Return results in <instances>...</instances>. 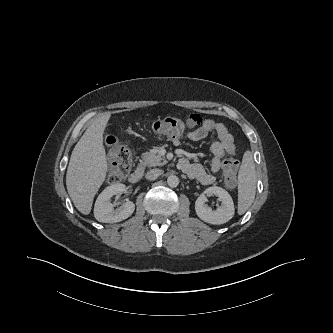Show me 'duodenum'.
Wrapping results in <instances>:
<instances>
[{
  "mask_svg": "<svg viewBox=\"0 0 333 333\" xmlns=\"http://www.w3.org/2000/svg\"><path fill=\"white\" fill-rule=\"evenodd\" d=\"M143 168L142 167H138L133 173H131V175L129 176V182L131 184H137L140 182V180L143 177Z\"/></svg>",
  "mask_w": 333,
  "mask_h": 333,
  "instance_id": "410a0bca",
  "label": "duodenum"
}]
</instances>
